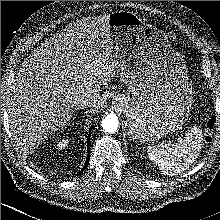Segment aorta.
I'll return each mask as SVG.
<instances>
[{
  "label": "aorta",
  "mask_w": 220,
  "mask_h": 220,
  "mask_svg": "<svg viewBox=\"0 0 220 220\" xmlns=\"http://www.w3.org/2000/svg\"><path fill=\"white\" fill-rule=\"evenodd\" d=\"M119 127V121L118 117L115 114L107 115L102 120V128L107 133H115L118 130Z\"/></svg>",
  "instance_id": "aorta-1"
}]
</instances>
